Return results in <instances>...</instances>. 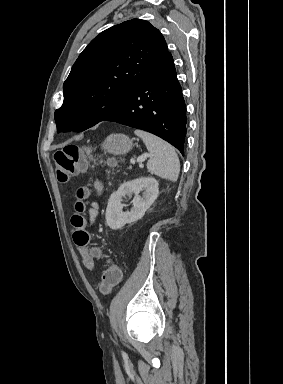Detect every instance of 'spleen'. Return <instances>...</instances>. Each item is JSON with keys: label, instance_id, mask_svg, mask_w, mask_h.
Instances as JSON below:
<instances>
[{"label": "spleen", "instance_id": "3e777b00", "mask_svg": "<svg viewBox=\"0 0 283 384\" xmlns=\"http://www.w3.org/2000/svg\"><path fill=\"white\" fill-rule=\"evenodd\" d=\"M134 134L142 138L148 152L153 154L147 162L148 172L170 182H176L180 172V162L174 148L153 134H147L141 130H135Z\"/></svg>", "mask_w": 283, "mask_h": 384}]
</instances>
